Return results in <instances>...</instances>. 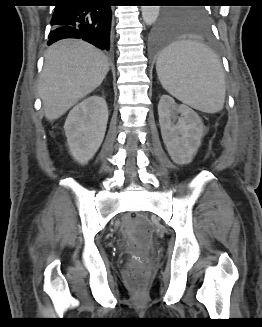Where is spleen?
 <instances>
[{
  "label": "spleen",
  "mask_w": 262,
  "mask_h": 327,
  "mask_svg": "<svg viewBox=\"0 0 262 327\" xmlns=\"http://www.w3.org/2000/svg\"><path fill=\"white\" fill-rule=\"evenodd\" d=\"M156 71L163 88L183 103L206 113L224 106L226 85L221 61L205 45L178 41L158 56Z\"/></svg>",
  "instance_id": "spleen-1"
}]
</instances>
